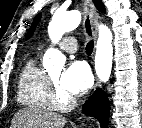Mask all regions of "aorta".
Returning a JSON list of instances; mask_svg holds the SVG:
<instances>
[{"instance_id":"762f6f07","label":"aorta","mask_w":142,"mask_h":128,"mask_svg":"<svg viewBox=\"0 0 142 128\" xmlns=\"http://www.w3.org/2000/svg\"><path fill=\"white\" fill-rule=\"evenodd\" d=\"M81 19V13L77 10H57L48 26V34L52 42H59L66 32L76 29ZM112 40L113 35L110 29L105 25H101L96 45L95 71L99 79L103 82L108 81L112 70ZM64 64V55L56 49L48 50L43 57V66L47 71L62 69Z\"/></svg>"}]
</instances>
